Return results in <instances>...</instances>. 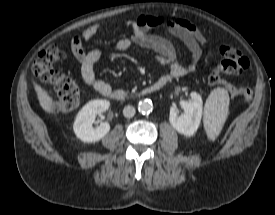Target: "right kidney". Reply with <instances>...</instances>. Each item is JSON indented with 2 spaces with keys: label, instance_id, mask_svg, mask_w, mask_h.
Wrapping results in <instances>:
<instances>
[{
  "label": "right kidney",
  "instance_id": "ca27d5eb",
  "mask_svg": "<svg viewBox=\"0 0 275 215\" xmlns=\"http://www.w3.org/2000/svg\"><path fill=\"white\" fill-rule=\"evenodd\" d=\"M109 105L107 100H93L79 111L73 125L77 138L83 142L92 143L101 140L109 132L110 125L107 122L101 123L96 128L92 126L96 115L106 111Z\"/></svg>",
  "mask_w": 275,
  "mask_h": 215
}]
</instances>
